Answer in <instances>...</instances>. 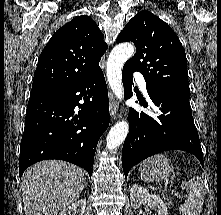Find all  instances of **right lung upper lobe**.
Here are the masks:
<instances>
[{
  "label": "right lung upper lobe",
  "mask_w": 221,
  "mask_h": 215,
  "mask_svg": "<svg viewBox=\"0 0 221 215\" xmlns=\"http://www.w3.org/2000/svg\"><path fill=\"white\" fill-rule=\"evenodd\" d=\"M107 50L103 34L88 16H77L54 33L34 73L31 97L61 90L90 75Z\"/></svg>",
  "instance_id": "1"
}]
</instances>
